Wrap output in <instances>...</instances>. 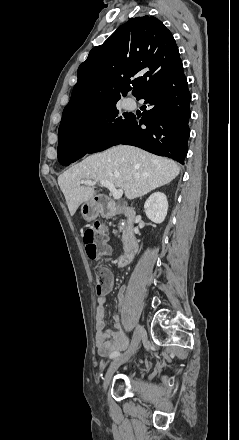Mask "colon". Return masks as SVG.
<instances>
[{
  "instance_id": "colon-1",
  "label": "colon",
  "mask_w": 239,
  "mask_h": 440,
  "mask_svg": "<svg viewBox=\"0 0 239 440\" xmlns=\"http://www.w3.org/2000/svg\"><path fill=\"white\" fill-rule=\"evenodd\" d=\"M87 256L91 260H100L110 253L107 235L100 222L88 228L83 235ZM109 284L107 269L99 266L96 273V287L99 294L103 293Z\"/></svg>"
}]
</instances>
